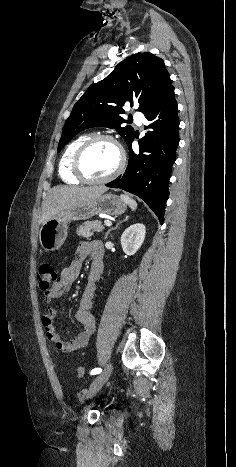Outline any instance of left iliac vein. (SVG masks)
Returning <instances> with one entry per match:
<instances>
[{
	"label": "left iliac vein",
	"instance_id": "left-iliac-vein-1",
	"mask_svg": "<svg viewBox=\"0 0 236 467\" xmlns=\"http://www.w3.org/2000/svg\"><path fill=\"white\" fill-rule=\"evenodd\" d=\"M112 369H113L112 364L108 363L104 371L93 379L92 383L90 384L89 389L84 392L83 394L84 399H89L93 397L102 388V386L109 379L112 373Z\"/></svg>",
	"mask_w": 236,
	"mask_h": 467
}]
</instances>
